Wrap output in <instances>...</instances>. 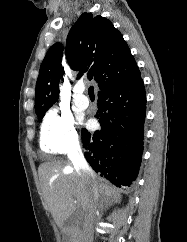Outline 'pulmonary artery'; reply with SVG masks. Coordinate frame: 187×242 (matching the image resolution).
<instances>
[{
  "instance_id": "pulmonary-artery-1",
  "label": "pulmonary artery",
  "mask_w": 187,
  "mask_h": 242,
  "mask_svg": "<svg viewBox=\"0 0 187 242\" xmlns=\"http://www.w3.org/2000/svg\"><path fill=\"white\" fill-rule=\"evenodd\" d=\"M84 86L81 85H76L74 89V103L77 107L85 109L89 106V100L88 98L84 95Z\"/></svg>"
}]
</instances>
